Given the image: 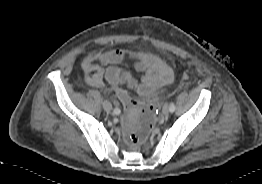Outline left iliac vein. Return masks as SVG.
<instances>
[{"mask_svg":"<svg viewBox=\"0 0 262 184\" xmlns=\"http://www.w3.org/2000/svg\"><path fill=\"white\" fill-rule=\"evenodd\" d=\"M169 107L167 106V105H165L163 108H162V111H161V113H162V115H164V116H166V115H168L169 114Z\"/></svg>","mask_w":262,"mask_h":184,"instance_id":"1","label":"left iliac vein"}]
</instances>
